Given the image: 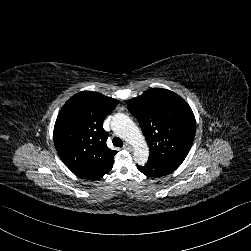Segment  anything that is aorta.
I'll return each instance as SVG.
<instances>
[{
    "mask_svg": "<svg viewBox=\"0 0 251 251\" xmlns=\"http://www.w3.org/2000/svg\"><path fill=\"white\" fill-rule=\"evenodd\" d=\"M111 129L118 137L129 141L134 146V161L138 165H145L148 161L149 149L137 125L127 115L116 113L112 117Z\"/></svg>",
    "mask_w": 251,
    "mask_h": 251,
    "instance_id": "aorta-1",
    "label": "aorta"
}]
</instances>
